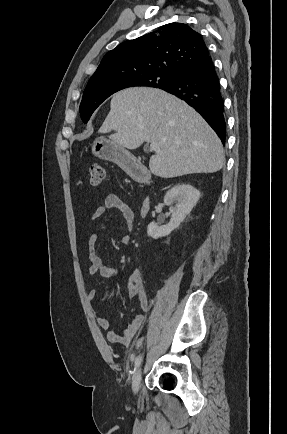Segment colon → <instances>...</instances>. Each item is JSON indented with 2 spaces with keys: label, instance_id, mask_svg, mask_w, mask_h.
<instances>
[{
  "label": "colon",
  "instance_id": "5ec220e1",
  "mask_svg": "<svg viewBox=\"0 0 287 434\" xmlns=\"http://www.w3.org/2000/svg\"><path fill=\"white\" fill-rule=\"evenodd\" d=\"M107 175V170L104 166L99 164H94L90 167V182L92 185H99L105 180Z\"/></svg>",
  "mask_w": 287,
  "mask_h": 434
}]
</instances>
